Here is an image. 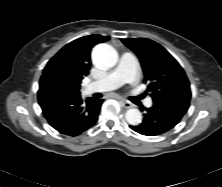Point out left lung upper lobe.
<instances>
[{"label": "left lung upper lobe", "mask_w": 222, "mask_h": 187, "mask_svg": "<svg viewBox=\"0 0 222 187\" xmlns=\"http://www.w3.org/2000/svg\"><path fill=\"white\" fill-rule=\"evenodd\" d=\"M122 42L137 54L153 100L176 94L191 95L184 70L165 48L146 38H127Z\"/></svg>", "instance_id": "1"}]
</instances>
